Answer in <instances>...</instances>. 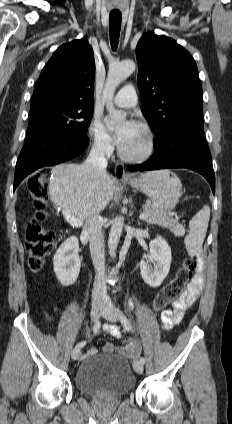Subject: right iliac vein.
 I'll return each mask as SVG.
<instances>
[{
    "label": "right iliac vein",
    "mask_w": 232,
    "mask_h": 424,
    "mask_svg": "<svg viewBox=\"0 0 232 424\" xmlns=\"http://www.w3.org/2000/svg\"><path fill=\"white\" fill-rule=\"evenodd\" d=\"M104 306L100 303H96L91 308V319L93 322L97 321L103 312ZM81 355V348L75 347L71 353L73 360H77Z\"/></svg>",
    "instance_id": "1"
}]
</instances>
